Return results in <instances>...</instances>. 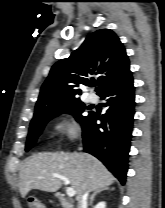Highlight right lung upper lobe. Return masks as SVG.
I'll return each instance as SVG.
<instances>
[{
    "label": "right lung upper lobe",
    "mask_w": 165,
    "mask_h": 208,
    "mask_svg": "<svg viewBox=\"0 0 165 208\" xmlns=\"http://www.w3.org/2000/svg\"><path fill=\"white\" fill-rule=\"evenodd\" d=\"M128 73V56L117 35L109 29L97 30L68 58L52 66L42 85L35 112L53 104L79 100V86L88 85L91 76L97 77L99 95ZM91 81H95L94 78Z\"/></svg>",
    "instance_id": "1"
}]
</instances>
